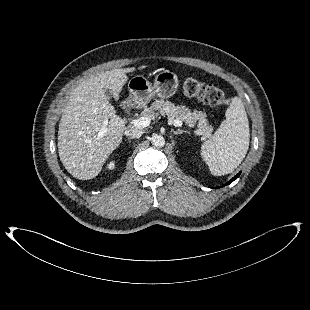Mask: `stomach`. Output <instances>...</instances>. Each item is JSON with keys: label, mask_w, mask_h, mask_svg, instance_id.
Here are the masks:
<instances>
[{"label": "stomach", "mask_w": 310, "mask_h": 310, "mask_svg": "<svg viewBox=\"0 0 310 310\" xmlns=\"http://www.w3.org/2000/svg\"><path fill=\"white\" fill-rule=\"evenodd\" d=\"M128 88L134 104L144 106L154 95L162 99L172 97L178 90V77L172 71L161 70L151 83L144 76L137 75L130 79Z\"/></svg>", "instance_id": "obj_1"}]
</instances>
